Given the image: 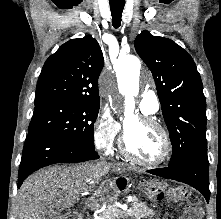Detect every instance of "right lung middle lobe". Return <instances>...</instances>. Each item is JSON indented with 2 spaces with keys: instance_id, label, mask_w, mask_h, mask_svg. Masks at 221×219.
<instances>
[{
  "instance_id": "right-lung-middle-lobe-1",
  "label": "right lung middle lobe",
  "mask_w": 221,
  "mask_h": 219,
  "mask_svg": "<svg viewBox=\"0 0 221 219\" xmlns=\"http://www.w3.org/2000/svg\"><path fill=\"white\" fill-rule=\"evenodd\" d=\"M35 105L28 133L40 131L85 148L95 149L94 123L100 103L48 100Z\"/></svg>"
}]
</instances>
